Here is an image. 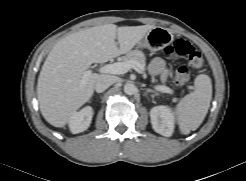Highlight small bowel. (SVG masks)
Wrapping results in <instances>:
<instances>
[{
    "mask_svg": "<svg viewBox=\"0 0 246 181\" xmlns=\"http://www.w3.org/2000/svg\"><path fill=\"white\" fill-rule=\"evenodd\" d=\"M150 69L155 74H161L162 78L165 79L167 72L165 70V62L161 58H155L150 64Z\"/></svg>",
    "mask_w": 246,
    "mask_h": 181,
    "instance_id": "1",
    "label": "small bowel"
}]
</instances>
